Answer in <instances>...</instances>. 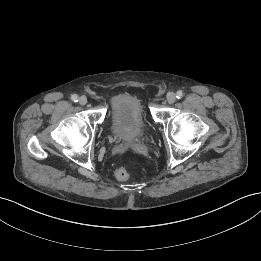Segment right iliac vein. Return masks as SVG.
Masks as SVG:
<instances>
[{
  "mask_svg": "<svg viewBox=\"0 0 261 261\" xmlns=\"http://www.w3.org/2000/svg\"><path fill=\"white\" fill-rule=\"evenodd\" d=\"M87 102H88V100H87V98H86L85 96H81V97L79 98V104H80V105L84 106V105L87 104Z\"/></svg>",
  "mask_w": 261,
  "mask_h": 261,
  "instance_id": "right-iliac-vein-1",
  "label": "right iliac vein"
}]
</instances>
